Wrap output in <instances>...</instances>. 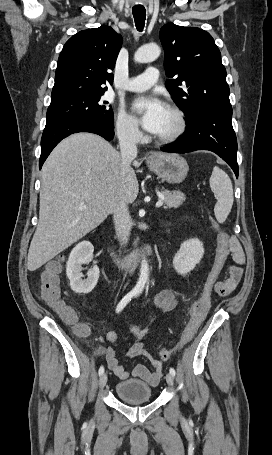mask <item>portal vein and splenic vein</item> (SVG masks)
Listing matches in <instances>:
<instances>
[{
    "label": "portal vein and splenic vein",
    "instance_id": "portal-vein-and-splenic-vein-1",
    "mask_svg": "<svg viewBox=\"0 0 272 455\" xmlns=\"http://www.w3.org/2000/svg\"><path fill=\"white\" fill-rule=\"evenodd\" d=\"M164 200H165L164 198L159 199L158 202L156 203V207L157 208L161 207L163 205ZM86 208H87V206L85 204H82L79 207V209H86Z\"/></svg>",
    "mask_w": 272,
    "mask_h": 455
}]
</instances>
